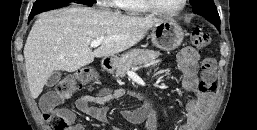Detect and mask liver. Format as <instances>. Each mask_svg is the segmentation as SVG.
<instances>
[{
	"mask_svg": "<svg viewBox=\"0 0 257 130\" xmlns=\"http://www.w3.org/2000/svg\"><path fill=\"white\" fill-rule=\"evenodd\" d=\"M161 19L123 16L106 10L71 7L40 14L27 37L24 58L35 99L54 71L74 72L94 58L114 56L142 40ZM94 40H104L92 51Z\"/></svg>",
	"mask_w": 257,
	"mask_h": 130,
	"instance_id": "liver-1",
	"label": "liver"
}]
</instances>
